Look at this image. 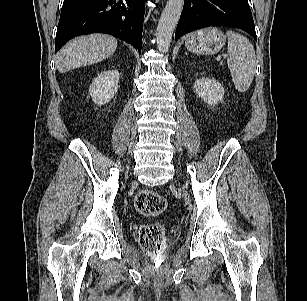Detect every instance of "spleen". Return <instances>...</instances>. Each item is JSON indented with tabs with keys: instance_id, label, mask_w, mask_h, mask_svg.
I'll use <instances>...</instances> for the list:
<instances>
[{
	"instance_id": "spleen-1",
	"label": "spleen",
	"mask_w": 307,
	"mask_h": 301,
	"mask_svg": "<svg viewBox=\"0 0 307 301\" xmlns=\"http://www.w3.org/2000/svg\"><path fill=\"white\" fill-rule=\"evenodd\" d=\"M228 37V67L235 88L239 92L249 89L256 69L255 50L251 42L240 33L229 30Z\"/></svg>"
}]
</instances>
